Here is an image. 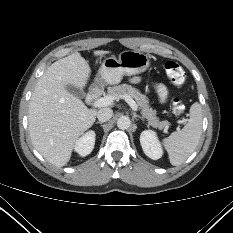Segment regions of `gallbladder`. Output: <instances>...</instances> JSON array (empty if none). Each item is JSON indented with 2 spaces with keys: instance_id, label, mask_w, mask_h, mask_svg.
Masks as SVG:
<instances>
[{
  "instance_id": "obj_1",
  "label": "gallbladder",
  "mask_w": 233,
  "mask_h": 233,
  "mask_svg": "<svg viewBox=\"0 0 233 233\" xmlns=\"http://www.w3.org/2000/svg\"><path fill=\"white\" fill-rule=\"evenodd\" d=\"M67 90L74 95L75 97L79 98V99H83L85 97V92L83 89L80 88H76L74 86L68 85Z\"/></svg>"
}]
</instances>
